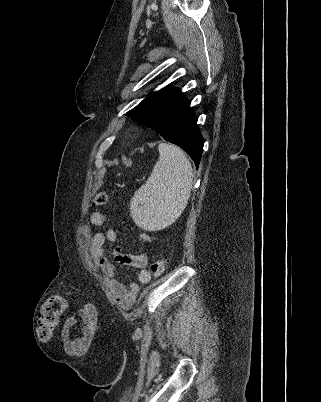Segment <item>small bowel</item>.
<instances>
[{
  "label": "small bowel",
  "mask_w": 321,
  "mask_h": 402,
  "mask_svg": "<svg viewBox=\"0 0 321 402\" xmlns=\"http://www.w3.org/2000/svg\"><path fill=\"white\" fill-rule=\"evenodd\" d=\"M108 220V215L102 211H94L90 216V223L94 227H102ZM140 238L144 242L151 241V238L145 233H142ZM116 240V232L113 229H107L93 236L92 247L103 273L109 280L117 303L123 309H129L140 292L141 284H147L151 280V275L146 268L148 258L145 254H126L119 247L114 248L112 257L117 263L138 269L137 280L131 281L128 285L125 284L118 278L117 268L113 261L104 255V244L107 241L115 242ZM78 313L82 323V326L79 327V338L67 337L65 339V348L71 354L72 358H83L84 353H87L88 347L91 345V335L94 334V329L98 327V322L95 320L96 310L93 303L83 302ZM76 321V316H68L67 320H64L62 323L64 331L69 333V329H75Z\"/></svg>",
  "instance_id": "1"
}]
</instances>
